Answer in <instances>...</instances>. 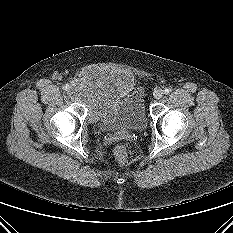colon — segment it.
Listing matches in <instances>:
<instances>
[{"label": "colon", "mask_w": 233, "mask_h": 233, "mask_svg": "<svg viewBox=\"0 0 233 233\" xmlns=\"http://www.w3.org/2000/svg\"><path fill=\"white\" fill-rule=\"evenodd\" d=\"M114 156L120 164L127 163L129 158L127 148L122 144L117 145L114 149Z\"/></svg>", "instance_id": "colon-1"}]
</instances>
